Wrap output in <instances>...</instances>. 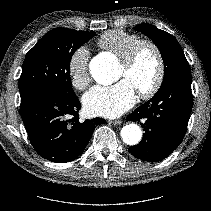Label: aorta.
Masks as SVG:
<instances>
[{
    "mask_svg": "<svg viewBox=\"0 0 211 211\" xmlns=\"http://www.w3.org/2000/svg\"><path fill=\"white\" fill-rule=\"evenodd\" d=\"M91 74L96 82L102 85H110L115 81L112 66L94 59L90 65ZM122 140L128 145H136L142 138V131L136 124L125 125L121 130Z\"/></svg>",
    "mask_w": 211,
    "mask_h": 211,
    "instance_id": "aorta-1",
    "label": "aorta"
}]
</instances>
